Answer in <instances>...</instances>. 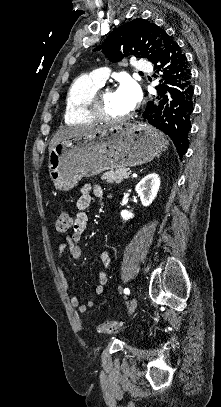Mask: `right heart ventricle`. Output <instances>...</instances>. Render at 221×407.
I'll return each instance as SVG.
<instances>
[{
  "instance_id": "1",
  "label": "right heart ventricle",
  "mask_w": 221,
  "mask_h": 407,
  "mask_svg": "<svg viewBox=\"0 0 221 407\" xmlns=\"http://www.w3.org/2000/svg\"><path fill=\"white\" fill-rule=\"evenodd\" d=\"M90 75L76 78L67 90L64 106V120L68 124H88L95 121L88 107L94 95L101 88Z\"/></svg>"
}]
</instances>
